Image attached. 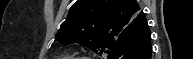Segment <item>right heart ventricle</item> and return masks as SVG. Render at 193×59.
<instances>
[{
	"mask_svg": "<svg viewBox=\"0 0 193 59\" xmlns=\"http://www.w3.org/2000/svg\"><path fill=\"white\" fill-rule=\"evenodd\" d=\"M60 59H68V57L67 56H63Z\"/></svg>",
	"mask_w": 193,
	"mask_h": 59,
	"instance_id": "e07e8e85",
	"label": "right heart ventricle"
}]
</instances>
